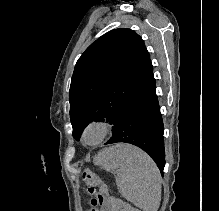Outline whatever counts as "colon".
Returning <instances> with one entry per match:
<instances>
[{"label":"colon","instance_id":"1","mask_svg":"<svg viewBox=\"0 0 219 211\" xmlns=\"http://www.w3.org/2000/svg\"><path fill=\"white\" fill-rule=\"evenodd\" d=\"M83 180L86 186L85 192L89 196L88 205L90 208L88 211H97V206L103 199L109 202L114 211H140L130 204L111 196L107 186L96 171L91 169L85 170L83 173ZM97 188H100L101 191V194L98 197L96 195Z\"/></svg>","mask_w":219,"mask_h":211}]
</instances>
